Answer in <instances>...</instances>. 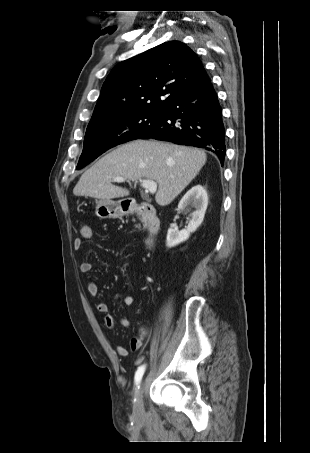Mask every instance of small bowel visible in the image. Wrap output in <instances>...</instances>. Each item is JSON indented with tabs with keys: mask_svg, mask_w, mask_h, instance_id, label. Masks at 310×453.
Segmentation results:
<instances>
[{
	"mask_svg": "<svg viewBox=\"0 0 310 453\" xmlns=\"http://www.w3.org/2000/svg\"><path fill=\"white\" fill-rule=\"evenodd\" d=\"M90 237H91V235L88 237L76 238L73 242L74 249L80 250L83 245V239H89ZM91 270H92V263L90 261L85 260V261L81 262V264H80L81 273L88 274ZM86 287H87V291L90 296L96 297L98 295L99 289L95 282L90 281V280L87 281ZM114 299L120 301L125 306H131L134 302V299L131 295H125V294H121V293H116L114 295ZM96 308H97L98 312H100L104 315L103 322H104L105 327L108 329H114L115 325H116V320H115L114 316L112 315V313L110 312V309H109L107 303L104 301H99L96 304ZM118 322H119V325L123 328H128L131 325L130 320L126 317L120 318ZM146 334H147L146 329L144 327H141L139 330V333L136 336L132 337V339L130 341V347H131L132 351H137L142 347ZM116 352L121 357H125L128 355V350L126 349V347H124L122 345H118L116 347Z\"/></svg>",
	"mask_w": 310,
	"mask_h": 453,
	"instance_id": "c3829d8e",
	"label": "small bowel"
}]
</instances>
